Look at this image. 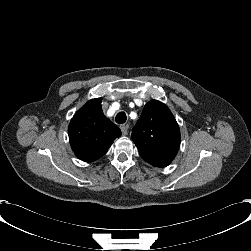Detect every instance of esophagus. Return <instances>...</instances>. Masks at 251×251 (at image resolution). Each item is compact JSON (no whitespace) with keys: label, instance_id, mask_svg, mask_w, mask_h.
<instances>
[{"label":"esophagus","instance_id":"1","mask_svg":"<svg viewBox=\"0 0 251 251\" xmlns=\"http://www.w3.org/2000/svg\"><path fill=\"white\" fill-rule=\"evenodd\" d=\"M120 129H121L123 135H127L128 130H129V125L128 124H122L120 126Z\"/></svg>","mask_w":251,"mask_h":251}]
</instances>
